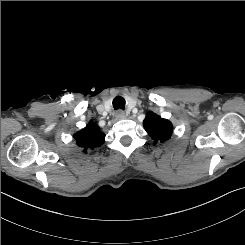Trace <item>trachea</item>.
Returning <instances> with one entry per match:
<instances>
[{
	"instance_id": "trachea-1",
	"label": "trachea",
	"mask_w": 245,
	"mask_h": 245,
	"mask_svg": "<svg viewBox=\"0 0 245 245\" xmlns=\"http://www.w3.org/2000/svg\"><path fill=\"white\" fill-rule=\"evenodd\" d=\"M125 103H126V101H125V99H124L123 97L117 96V97H115L114 100H113V107H114V109H116V110H117V109L123 110L124 107H125Z\"/></svg>"
}]
</instances>
